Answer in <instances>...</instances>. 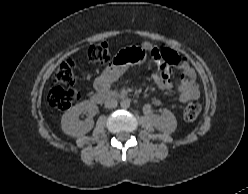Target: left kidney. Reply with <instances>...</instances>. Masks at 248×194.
Returning a JSON list of instances; mask_svg holds the SVG:
<instances>
[{
  "label": "left kidney",
  "mask_w": 248,
  "mask_h": 194,
  "mask_svg": "<svg viewBox=\"0 0 248 194\" xmlns=\"http://www.w3.org/2000/svg\"><path fill=\"white\" fill-rule=\"evenodd\" d=\"M153 126L163 132L170 134L175 131L177 121L175 116L169 110H165L162 116H155L153 119Z\"/></svg>",
  "instance_id": "obj_1"
}]
</instances>
